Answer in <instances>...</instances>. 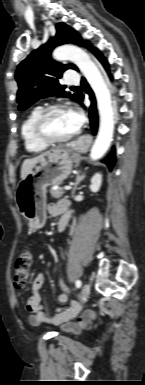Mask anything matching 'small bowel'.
<instances>
[{"mask_svg": "<svg viewBox=\"0 0 145 385\" xmlns=\"http://www.w3.org/2000/svg\"><path fill=\"white\" fill-rule=\"evenodd\" d=\"M67 212L70 213V203L66 199H62L57 203H51L48 206V213L53 217L64 215ZM44 282L45 274L39 273L31 284L32 294L26 305L27 310L31 313L29 317L30 324L40 325L47 322L61 327L65 332L74 333L88 326L95 317V312L93 310L81 312V306L75 301L71 302L67 307L57 308L53 316L50 317L46 307L41 302L39 294ZM59 285L62 292L58 294L57 300L60 303H66L69 300V288L64 282H60Z\"/></svg>", "mask_w": 145, "mask_h": 385, "instance_id": "c3829d8e", "label": "small bowel"}]
</instances>
